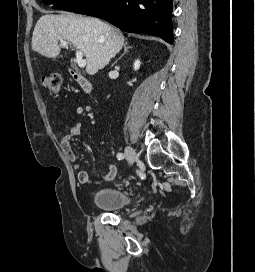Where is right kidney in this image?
Returning a JSON list of instances; mask_svg holds the SVG:
<instances>
[{
    "label": "right kidney",
    "mask_w": 255,
    "mask_h": 272,
    "mask_svg": "<svg viewBox=\"0 0 255 272\" xmlns=\"http://www.w3.org/2000/svg\"><path fill=\"white\" fill-rule=\"evenodd\" d=\"M140 65H141V62L139 60H136L133 67H134V70H138L140 68Z\"/></svg>",
    "instance_id": "ca27d5eb"
}]
</instances>
